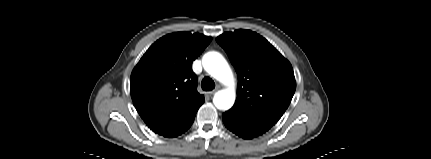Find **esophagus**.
Listing matches in <instances>:
<instances>
[{
	"label": "esophagus",
	"instance_id": "34e87169",
	"mask_svg": "<svg viewBox=\"0 0 431 159\" xmlns=\"http://www.w3.org/2000/svg\"><path fill=\"white\" fill-rule=\"evenodd\" d=\"M217 90H218V88H216L215 90H212L210 92H207V96L212 97L216 93Z\"/></svg>",
	"mask_w": 431,
	"mask_h": 159
}]
</instances>
